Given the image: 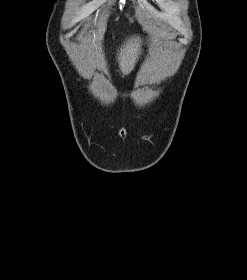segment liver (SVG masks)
<instances>
[{
	"label": "liver",
	"mask_w": 247,
	"mask_h": 280,
	"mask_svg": "<svg viewBox=\"0 0 247 280\" xmlns=\"http://www.w3.org/2000/svg\"><path fill=\"white\" fill-rule=\"evenodd\" d=\"M141 52V39L129 38L120 48L118 55L119 67L123 75H128L135 67L138 56Z\"/></svg>",
	"instance_id": "1"
}]
</instances>
